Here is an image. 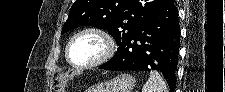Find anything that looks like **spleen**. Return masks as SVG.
Segmentation results:
<instances>
[{"label": "spleen", "mask_w": 225, "mask_h": 92, "mask_svg": "<svg viewBox=\"0 0 225 92\" xmlns=\"http://www.w3.org/2000/svg\"><path fill=\"white\" fill-rule=\"evenodd\" d=\"M142 92H168V88L161 75L157 71H151Z\"/></svg>", "instance_id": "spleen-1"}]
</instances>
